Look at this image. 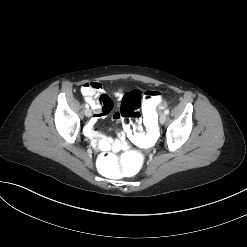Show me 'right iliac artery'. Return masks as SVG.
I'll return each mask as SVG.
<instances>
[{"label": "right iliac artery", "mask_w": 247, "mask_h": 247, "mask_svg": "<svg viewBox=\"0 0 247 247\" xmlns=\"http://www.w3.org/2000/svg\"><path fill=\"white\" fill-rule=\"evenodd\" d=\"M85 108H89V105L88 104H85Z\"/></svg>", "instance_id": "82829eb1"}]
</instances>
